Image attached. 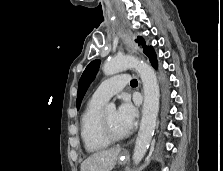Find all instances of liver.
Instances as JSON below:
<instances>
[{
    "mask_svg": "<svg viewBox=\"0 0 223 171\" xmlns=\"http://www.w3.org/2000/svg\"><path fill=\"white\" fill-rule=\"evenodd\" d=\"M120 151L118 147L95 152L82 162L80 171H111Z\"/></svg>",
    "mask_w": 223,
    "mask_h": 171,
    "instance_id": "obj_1",
    "label": "liver"
}]
</instances>
